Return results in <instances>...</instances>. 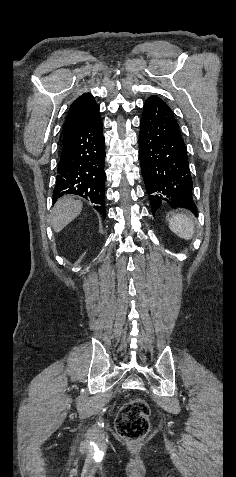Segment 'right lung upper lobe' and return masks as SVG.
<instances>
[{
    "label": "right lung upper lobe",
    "mask_w": 236,
    "mask_h": 477,
    "mask_svg": "<svg viewBox=\"0 0 236 477\" xmlns=\"http://www.w3.org/2000/svg\"><path fill=\"white\" fill-rule=\"evenodd\" d=\"M98 107L89 93L78 97L71 105L63 126V140L84 128L97 114Z\"/></svg>",
    "instance_id": "1"
}]
</instances>
